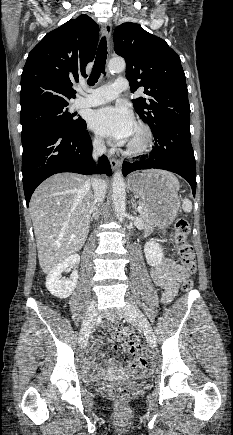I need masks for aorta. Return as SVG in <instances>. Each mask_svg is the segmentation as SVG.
<instances>
[{
	"mask_svg": "<svg viewBox=\"0 0 233 435\" xmlns=\"http://www.w3.org/2000/svg\"><path fill=\"white\" fill-rule=\"evenodd\" d=\"M125 69L122 58H113L108 63L110 73H120ZM126 185L121 171H116L112 182V200L117 219L123 222L126 217Z\"/></svg>",
	"mask_w": 233,
	"mask_h": 435,
	"instance_id": "aorta-1",
	"label": "aorta"
}]
</instances>
